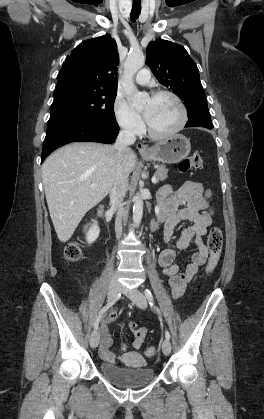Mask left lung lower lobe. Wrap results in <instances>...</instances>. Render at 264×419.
<instances>
[{"label":"left lung lower lobe","mask_w":264,"mask_h":419,"mask_svg":"<svg viewBox=\"0 0 264 419\" xmlns=\"http://www.w3.org/2000/svg\"><path fill=\"white\" fill-rule=\"evenodd\" d=\"M189 121L186 123L185 127H205L208 129L213 128V124L210 118V115L207 114V111L202 113H193L188 114Z\"/></svg>","instance_id":"1"}]
</instances>
